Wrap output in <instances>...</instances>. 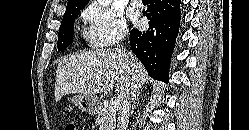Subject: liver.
Returning <instances> with one entry per match:
<instances>
[{
    "label": "liver",
    "mask_w": 249,
    "mask_h": 130,
    "mask_svg": "<svg viewBox=\"0 0 249 130\" xmlns=\"http://www.w3.org/2000/svg\"><path fill=\"white\" fill-rule=\"evenodd\" d=\"M133 76L140 86L149 79L142 63L133 55L128 58L122 50L107 48L70 55L57 66L55 101L70 93H107L116 81L117 98L122 105Z\"/></svg>",
    "instance_id": "liver-1"
}]
</instances>
